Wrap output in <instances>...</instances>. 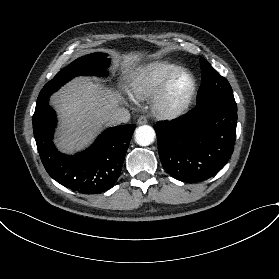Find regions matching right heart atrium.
<instances>
[{
    "instance_id": "d8ad5b80",
    "label": "right heart atrium",
    "mask_w": 279,
    "mask_h": 279,
    "mask_svg": "<svg viewBox=\"0 0 279 279\" xmlns=\"http://www.w3.org/2000/svg\"><path fill=\"white\" fill-rule=\"evenodd\" d=\"M119 97L121 100L125 101L126 103L130 104H137L138 99L134 96H127L123 91L119 93Z\"/></svg>"
}]
</instances>
